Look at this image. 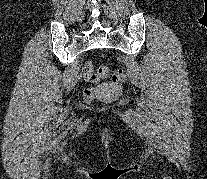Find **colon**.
I'll return each mask as SVG.
<instances>
[{"instance_id": "colon-1", "label": "colon", "mask_w": 207, "mask_h": 179, "mask_svg": "<svg viewBox=\"0 0 207 179\" xmlns=\"http://www.w3.org/2000/svg\"><path fill=\"white\" fill-rule=\"evenodd\" d=\"M84 76L91 83H98L100 78L110 77L115 82H124L127 78V75L124 70L117 69L111 70L108 67H100L97 72H94L93 66L90 62H87L84 66ZM97 93L95 87H88L84 90V99L86 101H92Z\"/></svg>"}]
</instances>
